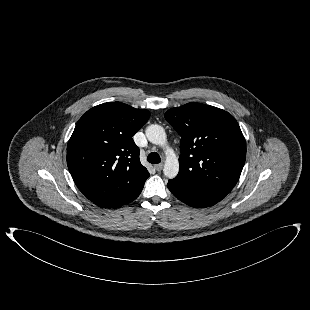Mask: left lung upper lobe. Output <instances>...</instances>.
Wrapping results in <instances>:
<instances>
[{
    "instance_id": "left-lung-upper-lobe-1",
    "label": "left lung upper lobe",
    "mask_w": 310,
    "mask_h": 310,
    "mask_svg": "<svg viewBox=\"0 0 310 310\" xmlns=\"http://www.w3.org/2000/svg\"><path fill=\"white\" fill-rule=\"evenodd\" d=\"M165 119L181 136L180 169L173 180L225 197L237 183L246 156V141L235 118L193 102L169 109Z\"/></svg>"
}]
</instances>
